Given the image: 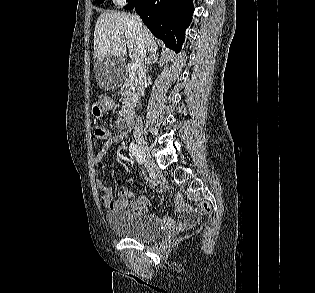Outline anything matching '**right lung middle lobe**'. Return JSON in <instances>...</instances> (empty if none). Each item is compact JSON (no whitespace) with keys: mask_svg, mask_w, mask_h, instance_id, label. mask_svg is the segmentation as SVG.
<instances>
[{"mask_svg":"<svg viewBox=\"0 0 315 293\" xmlns=\"http://www.w3.org/2000/svg\"><path fill=\"white\" fill-rule=\"evenodd\" d=\"M95 2H97V3H103L104 0H95Z\"/></svg>","mask_w":315,"mask_h":293,"instance_id":"dd1d6c3e","label":"right lung middle lobe"}]
</instances>
